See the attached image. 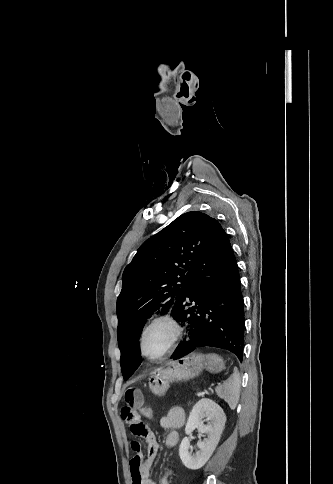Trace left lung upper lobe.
I'll list each match as a JSON object with an SVG mask.
<instances>
[{
	"instance_id": "1",
	"label": "left lung upper lobe",
	"mask_w": 333,
	"mask_h": 484,
	"mask_svg": "<svg viewBox=\"0 0 333 484\" xmlns=\"http://www.w3.org/2000/svg\"><path fill=\"white\" fill-rule=\"evenodd\" d=\"M213 218L199 211L182 214L138 249L122 276L117 298V337L122 375L127 380L140 365L139 338L154 312L170 310L185 298L186 275Z\"/></svg>"
}]
</instances>
